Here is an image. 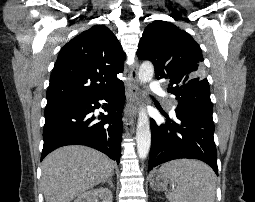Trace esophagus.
<instances>
[{"mask_svg":"<svg viewBox=\"0 0 255 202\" xmlns=\"http://www.w3.org/2000/svg\"><path fill=\"white\" fill-rule=\"evenodd\" d=\"M129 98L126 103V107L124 110V120L131 119L136 115L137 106L139 103V96H140V88L139 82L137 77V65H133L129 67Z\"/></svg>","mask_w":255,"mask_h":202,"instance_id":"34e87169","label":"esophagus"}]
</instances>
